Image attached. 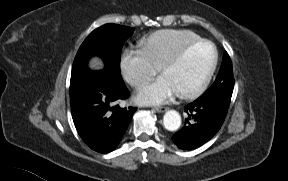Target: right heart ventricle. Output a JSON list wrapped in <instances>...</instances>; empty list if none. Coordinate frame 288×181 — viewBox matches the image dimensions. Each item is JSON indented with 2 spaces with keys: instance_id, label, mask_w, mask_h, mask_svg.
<instances>
[{
  "instance_id": "e07e8e85",
  "label": "right heart ventricle",
  "mask_w": 288,
  "mask_h": 181,
  "mask_svg": "<svg viewBox=\"0 0 288 181\" xmlns=\"http://www.w3.org/2000/svg\"><path fill=\"white\" fill-rule=\"evenodd\" d=\"M199 39L201 37L190 30L166 29L152 33L141 41L140 46L149 61L160 68L183 46Z\"/></svg>"
}]
</instances>
